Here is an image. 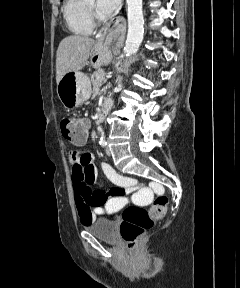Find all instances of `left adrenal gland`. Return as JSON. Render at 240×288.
Here are the masks:
<instances>
[{
    "mask_svg": "<svg viewBox=\"0 0 240 288\" xmlns=\"http://www.w3.org/2000/svg\"><path fill=\"white\" fill-rule=\"evenodd\" d=\"M123 78L121 76H117V82L120 84L122 82Z\"/></svg>",
    "mask_w": 240,
    "mask_h": 288,
    "instance_id": "obj_1",
    "label": "left adrenal gland"
}]
</instances>
